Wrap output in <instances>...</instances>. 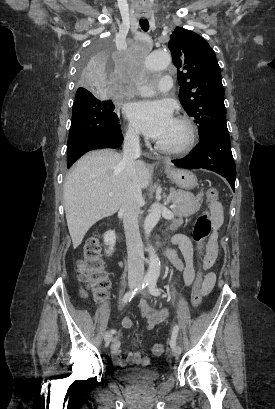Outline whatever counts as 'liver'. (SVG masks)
I'll return each instance as SVG.
<instances>
[{"label":"liver","instance_id":"6515ba94","mask_svg":"<svg viewBox=\"0 0 275 409\" xmlns=\"http://www.w3.org/2000/svg\"><path fill=\"white\" fill-rule=\"evenodd\" d=\"M135 168L142 188H146L149 168L143 160H135ZM124 192L125 168L120 152L112 148L91 150L77 160L64 184L66 221L74 249L94 223L117 213Z\"/></svg>","mask_w":275,"mask_h":409}]
</instances>
